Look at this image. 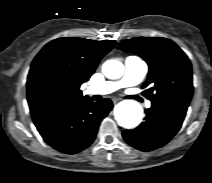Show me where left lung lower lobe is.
I'll use <instances>...</instances> for the list:
<instances>
[{"label": "left lung lower lobe", "mask_w": 212, "mask_h": 183, "mask_svg": "<svg viewBox=\"0 0 212 183\" xmlns=\"http://www.w3.org/2000/svg\"><path fill=\"white\" fill-rule=\"evenodd\" d=\"M187 106L155 103L146 109L145 121L134 130H125L124 140L141 151H151L165 145L179 131Z\"/></svg>", "instance_id": "left-lung-lower-lobe-1"}]
</instances>
